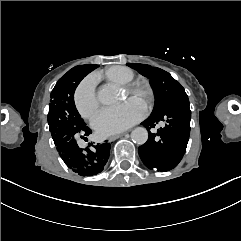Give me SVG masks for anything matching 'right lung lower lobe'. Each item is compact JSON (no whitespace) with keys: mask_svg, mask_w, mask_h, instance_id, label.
<instances>
[{"mask_svg":"<svg viewBox=\"0 0 241 241\" xmlns=\"http://www.w3.org/2000/svg\"><path fill=\"white\" fill-rule=\"evenodd\" d=\"M93 70L91 64L83 65L77 81L80 82ZM90 133H92L91 129L85 126L82 134L88 136ZM69 138L65 137L57 145V151L64 163L81 176H92L102 172L109 159L111 145L105 142L94 146L92 150L89 148L82 149L76 143L75 138Z\"/></svg>","mask_w":241,"mask_h":241,"instance_id":"98d812e1","label":"right lung lower lobe"}]
</instances>
